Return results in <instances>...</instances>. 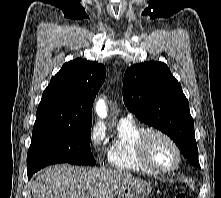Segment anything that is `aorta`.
Wrapping results in <instances>:
<instances>
[{
	"mask_svg": "<svg viewBox=\"0 0 221 198\" xmlns=\"http://www.w3.org/2000/svg\"><path fill=\"white\" fill-rule=\"evenodd\" d=\"M96 112L100 118H105L107 116V109L103 99H99L96 103Z\"/></svg>",
	"mask_w": 221,
	"mask_h": 198,
	"instance_id": "762f6f07",
	"label": "aorta"
}]
</instances>
